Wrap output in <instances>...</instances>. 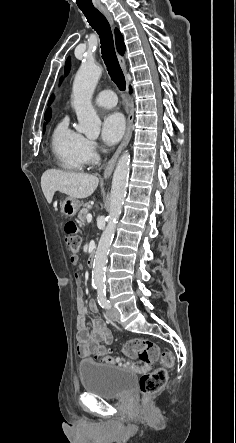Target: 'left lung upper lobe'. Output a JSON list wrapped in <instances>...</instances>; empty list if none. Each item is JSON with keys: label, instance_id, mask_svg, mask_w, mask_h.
Wrapping results in <instances>:
<instances>
[{"label": "left lung upper lobe", "instance_id": "5c2ea615", "mask_svg": "<svg viewBox=\"0 0 236 443\" xmlns=\"http://www.w3.org/2000/svg\"><path fill=\"white\" fill-rule=\"evenodd\" d=\"M70 66H71V62H70V58H68L66 61V64H65V75H67L69 73Z\"/></svg>", "mask_w": 236, "mask_h": 443}]
</instances>
